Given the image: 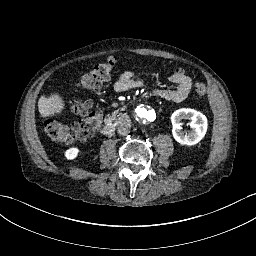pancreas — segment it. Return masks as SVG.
Instances as JSON below:
<instances>
[{
  "label": "pancreas",
  "mask_w": 256,
  "mask_h": 256,
  "mask_svg": "<svg viewBox=\"0 0 256 256\" xmlns=\"http://www.w3.org/2000/svg\"><path fill=\"white\" fill-rule=\"evenodd\" d=\"M116 122L117 124H128L129 123V116L124 113H119L118 111H115L112 113V115H108L107 118L104 119V122L106 124L110 122Z\"/></svg>",
  "instance_id": "pancreas-1"
}]
</instances>
